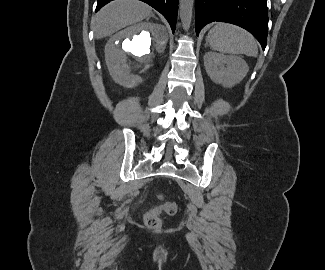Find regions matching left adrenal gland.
Returning <instances> with one entry per match:
<instances>
[{"instance_id":"left-adrenal-gland-1","label":"left adrenal gland","mask_w":325,"mask_h":270,"mask_svg":"<svg viewBox=\"0 0 325 270\" xmlns=\"http://www.w3.org/2000/svg\"><path fill=\"white\" fill-rule=\"evenodd\" d=\"M205 47H208V41L206 40V44H205Z\"/></svg>"}]
</instances>
